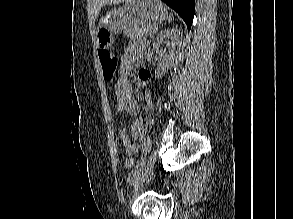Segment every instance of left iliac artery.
Wrapping results in <instances>:
<instances>
[{
	"mask_svg": "<svg viewBox=\"0 0 293 219\" xmlns=\"http://www.w3.org/2000/svg\"><path fill=\"white\" fill-rule=\"evenodd\" d=\"M150 151H151V140L148 135L147 139L144 143L143 155H142V158H141L140 163L138 165L139 168H143V166L146 164V162L149 159L151 160Z\"/></svg>",
	"mask_w": 293,
	"mask_h": 219,
	"instance_id": "44dca946",
	"label": "left iliac artery"
}]
</instances>
